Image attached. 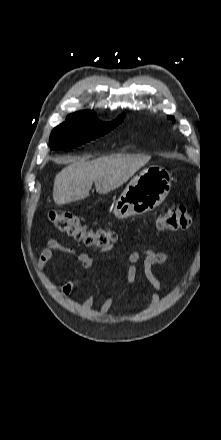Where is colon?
<instances>
[{
	"label": "colon",
	"instance_id": "colon-1",
	"mask_svg": "<svg viewBox=\"0 0 221 440\" xmlns=\"http://www.w3.org/2000/svg\"><path fill=\"white\" fill-rule=\"evenodd\" d=\"M49 218L60 232L83 242L89 247L103 249L114 243L118 238L113 229L108 227L91 229L69 212L51 211ZM191 221L187 209L180 205L165 210L158 218L156 226L160 230L175 232L187 228Z\"/></svg>",
	"mask_w": 221,
	"mask_h": 440
}]
</instances>
